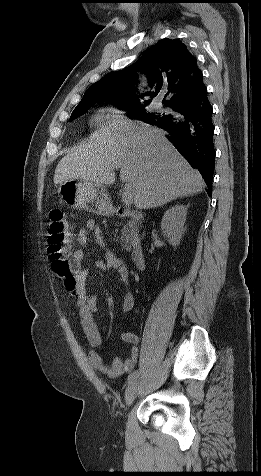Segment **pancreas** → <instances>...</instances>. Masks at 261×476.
I'll return each mask as SVG.
<instances>
[{
  "label": "pancreas",
  "instance_id": "pancreas-1",
  "mask_svg": "<svg viewBox=\"0 0 261 476\" xmlns=\"http://www.w3.org/2000/svg\"><path fill=\"white\" fill-rule=\"evenodd\" d=\"M121 243L124 249L131 251V248L134 247L138 242V232L135 226V222L130 220L126 225H124L121 230Z\"/></svg>",
  "mask_w": 261,
  "mask_h": 476
}]
</instances>
